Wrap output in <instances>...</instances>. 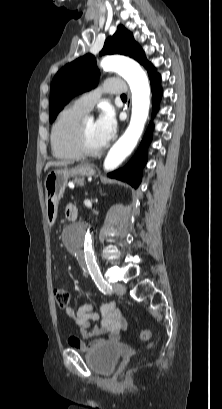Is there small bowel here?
Segmentation results:
<instances>
[{
    "label": "small bowel",
    "mask_w": 222,
    "mask_h": 409,
    "mask_svg": "<svg viewBox=\"0 0 222 409\" xmlns=\"http://www.w3.org/2000/svg\"><path fill=\"white\" fill-rule=\"evenodd\" d=\"M74 209H76L74 205L66 207L65 214L67 218ZM66 313L78 326L84 339L101 336L89 343L76 338L71 339V346L79 351H88L107 342H117L121 333L127 328L126 317L114 301L102 305L98 311H95V303L90 301L81 305L77 310L68 307ZM93 322L99 323L93 326Z\"/></svg>",
    "instance_id": "obj_1"
}]
</instances>
